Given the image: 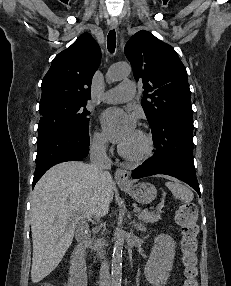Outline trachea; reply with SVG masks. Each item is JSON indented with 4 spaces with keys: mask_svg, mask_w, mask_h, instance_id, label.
<instances>
[{
    "mask_svg": "<svg viewBox=\"0 0 231 286\" xmlns=\"http://www.w3.org/2000/svg\"><path fill=\"white\" fill-rule=\"evenodd\" d=\"M116 47V32L111 30L107 36V48L110 53H114Z\"/></svg>",
    "mask_w": 231,
    "mask_h": 286,
    "instance_id": "3493384b",
    "label": "trachea"
}]
</instances>
